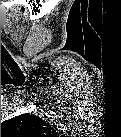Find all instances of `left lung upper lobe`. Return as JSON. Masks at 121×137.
Returning <instances> with one entry per match:
<instances>
[{"label":"left lung upper lobe","instance_id":"5c2ea615","mask_svg":"<svg viewBox=\"0 0 121 137\" xmlns=\"http://www.w3.org/2000/svg\"><path fill=\"white\" fill-rule=\"evenodd\" d=\"M4 136L45 137L54 134V129L42 118L33 114H22L1 123Z\"/></svg>","mask_w":121,"mask_h":137}]
</instances>
